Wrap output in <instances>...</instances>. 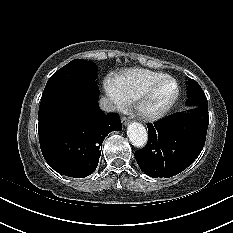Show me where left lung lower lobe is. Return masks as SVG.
<instances>
[{
	"mask_svg": "<svg viewBox=\"0 0 233 233\" xmlns=\"http://www.w3.org/2000/svg\"><path fill=\"white\" fill-rule=\"evenodd\" d=\"M208 125L207 104L149 124L148 143L135 152L140 169L153 178L179 174L203 149Z\"/></svg>",
	"mask_w": 233,
	"mask_h": 233,
	"instance_id": "left-lung-lower-lobe-1",
	"label": "left lung lower lobe"
}]
</instances>
